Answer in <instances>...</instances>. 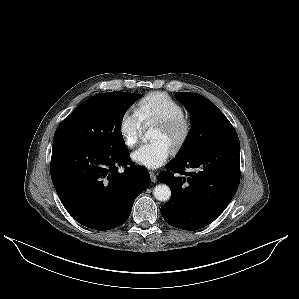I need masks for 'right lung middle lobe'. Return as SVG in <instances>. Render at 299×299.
<instances>
[{"instance_id":"obj_1","label":"right lung middle lobe","mask_w":299,"mask_h":299,"mask_svg":"<svg viewBox=\"0 0 299 299\" xmlns=\"http://www.w3.org/2000/svg\"><path fill=\"white\" fill-rule=\"evenodd\" d=\"M141 97V94L115 91L88 98L61 123L54 141L70 140L109 151L124 149L122 119Z\"/></svg>"}]
</instances>
